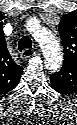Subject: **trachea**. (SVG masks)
<instances>
[{
    "mask_svg": "<svg viewBox=\"0 0 77 125\" xmlns=\"http://www.w3.org/2000/svg\"><path fill=\"white\" fill-rule=\"evenodd\" d=\"M31 47H32L31 39L28 36H23L18 43V49L22 51L23 49Z\"/></svg>",
    "mask_w": 77,
    "mask_h": 125,
    "instance_id": "1",
    "label": "trachea"
}]
</instances>
